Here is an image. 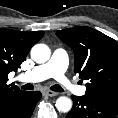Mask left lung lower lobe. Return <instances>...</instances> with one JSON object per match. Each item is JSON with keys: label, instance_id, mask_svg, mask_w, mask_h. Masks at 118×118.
I'll return each mask as SVG.
<instances>
[{"label": "left lung lower lobe", "instance_id": "1", "mask_svg": "<svg viewBox=\"0 0 118 118\" xmlns=\"http://www.w3.org/2000/svg\"><path fill=\"white\" fill-rule=\"evenodd\" d=\"M72 110L66 118H115L118 114V103L88 96H71Z\"/></svg>", "mask_w": 118, "mask_h": 118}]
</instances>
